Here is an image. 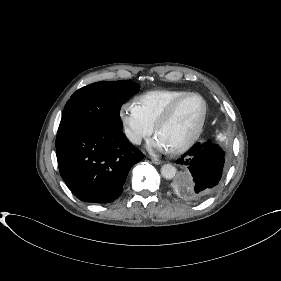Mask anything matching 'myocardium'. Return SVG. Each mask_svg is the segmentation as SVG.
<instances>
[{
    "label": "myocardium",
    "instance_id": "f54148a6",
    "mask_svg": "<svg viewBox=\"0 0 281 281\" xmlns=\"http://www.w3.org/2000/svg\"><path fill=\"white\" fill-rule=\"evenodd\" d=\"M189 97H197L201 100L202 105H203L202 116H201L200 122H199L196 130L194 131L192 136L186 142L182 143L181 145H179L173 149H167L168 153L173 154V155L180 154V153L188 150L200 136V134L203 130V127H204V124L206 121V117H207V112H208V106H207V102H206L205 98L196 92H187V93L181 95L180 97L173 100L167 106V108L159 116L158 120L156 121V123L154 125V132L157 135V133L159 132L161 127L171 118V116L173 115L174 111L179 106V104Z\"/></svg>",
    "mask_w": 281,
    "mask_h": 281
}]
</instances>
